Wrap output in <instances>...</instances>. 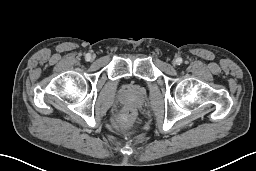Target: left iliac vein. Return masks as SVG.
Listing matches in <instances>:
<instances>
[{"label": "left iliac vein", "instance_id": "4c4485c4", "mask_svg": "<svg viewBox=\"0 0 256 171\" xmlns=\"http://www.w3.org/2000/svg\"><path fill=\"white\" fill-rule=\"evenodd\" d=\"M173 64L176 65V64H177V60H174V61H173Z\"/></svg>", "mask_w": 256, "mask_h": 171}]
</instances>
